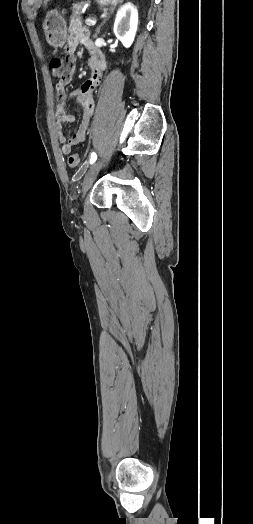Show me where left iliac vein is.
Returning <instances> with one entry per match:
<instances>
[{
    "instance_id": "1",
    "label": "left iliac vein",
    "mask_w": 253,
    "mask_h": 524,
    "mask_svg": "<svg viewBox=\"0 0 253 524\" xmlns=\"http://www.w3.org/2000/svg\"><path fill=\"white\" fill-rule=\"evenodd\" d=\"M102 167V160L95 162L91 168L87 171L84 180L82 182L83 195L90 189L94 180L96 179L100 169Z\"/></svg>"
}]
</instances>
